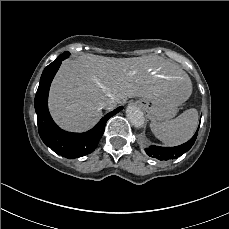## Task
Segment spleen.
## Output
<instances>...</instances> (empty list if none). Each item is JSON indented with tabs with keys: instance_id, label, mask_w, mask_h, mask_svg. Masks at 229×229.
I'll return each mask as SVG.
<instances>
[{
	"instance_id": "1",
	"label": "spleen",
	"mask_w": 229,
	"mask_h": 229,
	"mask_svg": "<svg viewBox=\"0 0 229 229\" xmlns=\"http://www.w3.org/2000/svg\"><path fill=\"white\" fill-rule=\"evenodd\" d=\"M198 125L196 109H187L178 117L168 121H153L150 124L153 134L165 145H178L187 141Z\"/></svg>"
}]
</instances>
